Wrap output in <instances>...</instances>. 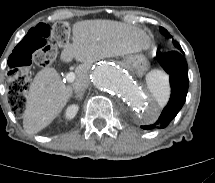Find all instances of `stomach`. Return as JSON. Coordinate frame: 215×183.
<instances>
[{"label":"stomach","mask_w":215,"mask_h":183,"mask_svg":"<svg viewBox=\"0 0 215 183\" xmlns=\"http://www.w3.org/2000/svg\"><path fill=\"white\" fill-rule=\"evenodd\" d=\"M124 63L129 67L137 71L138 73H143L147 67V59L140 54L129 55L124 58Z\"/></svg>","instance_id":"0dacf381"}]
</instances>
